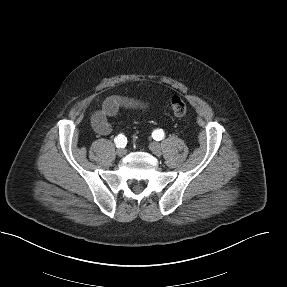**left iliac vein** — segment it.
Returning <instances> with one entry per match:
<instances>
[{
	"label": "left iliac vein",
	"instance_id": "1",
	"mask_svg": "<svg viewBox=\"0 0 287 287\" xmlns=\"http://www.w3.org/2000/svg\"><path fill=\"white\" fill-rule=\"evenodd\" d=\"M149 149L154 153L155 155H160L161 154V146L158 142H152L149 145Z\"/></svg>",
	"mask_w": 287,
	"mask_h": 287
}]
</instances>
